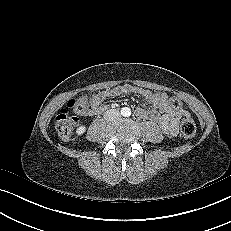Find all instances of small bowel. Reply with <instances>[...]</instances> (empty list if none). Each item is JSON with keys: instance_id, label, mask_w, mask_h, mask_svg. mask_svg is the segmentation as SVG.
Wrapping results in <instances>:
<instances>
[{"instance_id": "1", "label": "small bowel", "mask_w": 231, "mask_h": 231, "mask_svg": "<svg viewBox=\"0 0 231 231\" xmlns=\"http://www.w3.org/2000/svg\"><path fill=\"white\" fill-rule=\"evenodd\" d=\"M127 93H135L145 98L148 107H138L136 115L143 119L156 122L162 131L169 136L178 133V122L183 117H189L188 111L174 109L169 104V98L165 93H156L137 86L124 84L110 89L102 90L91 96H83L79 100L84 105L83 115L95 116L106 109L103 102L112 97H118Z\"/></svg>"}]
</instances>
